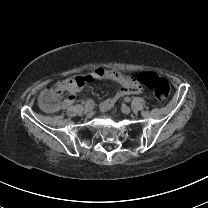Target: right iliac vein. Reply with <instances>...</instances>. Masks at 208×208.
Instances as JSON below:
<instances>
[{
    "label": "right iliac vein",
    "mask_w": 208,
    "mask_h": 208,
    "mask_svg": "<svg viewBox=\"0 0 208 208\" xmlns=\"http://www.w3.org/2000/svg\"><path fill=\"white\" fill-rule=\"evenodd\" d=\"M84 111H85V113L91 112L92 111V106L91 105H85Z\"/></svg>",
    "instance_id": "right-iliac-vein-1"
}]
</instances>
